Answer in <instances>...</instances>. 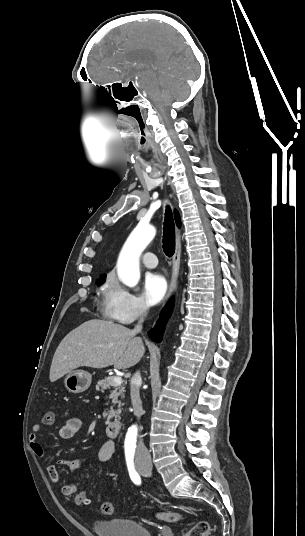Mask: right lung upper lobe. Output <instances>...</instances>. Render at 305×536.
Returning a JSON list of instances; mask_svg holds the SVG:
<instances>
[{
	"instance_id": "right-lung-upper-lobe-1",
	"label": "right lung upper lobe",
	"mask_w": 305,
	"mask_h": 536,
	"mask_svg": "<svg viewBox=\"0 0 305 536\" xmlns=\"http://www.w3.org/2000/svg\"><path fill=\"white\" fill-rule=\"evenodd\" d=\"M174 214H175V221H176V224H177L178 227H180V225H181V221H180L179 214H178V212H177L176 210H175Z\"/></svg>"
}]
</instances>
